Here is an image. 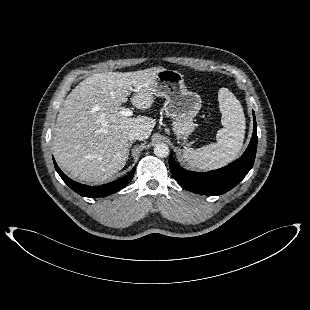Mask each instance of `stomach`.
Returning <instances> with one entry per match:
<instances>
[{"instance_id":"0dacf381","label":"stomach","mask_w":310,"mask_h":310,"mask_svg":"<svg viewBox=\"0 0 310 310\" xmlns=\"http://www.w3.org/2000/svg\"><path fill=\"white\" fill-rule=\"evenodd\" d=\"M184 76L175 70L164 69L157 73L154 94L165 98L164 110L174 122L173 132L185 144L195 129L193 118L201 108V97L187 89Z\"/></svg>"}]
</instances>
